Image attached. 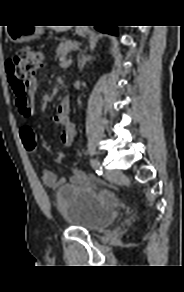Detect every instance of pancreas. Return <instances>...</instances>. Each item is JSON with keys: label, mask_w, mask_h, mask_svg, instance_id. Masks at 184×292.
<instances>
[{"label": "pancreas", "mask_w": 184, "mask_h": 292, "mask_svg": "<svg viewBox=\"0 0 184 292\" xmlns=\"http://www.w3.org/2000/svg\"><path fill=\"white\" fill-rule=\"evenodd\" d=\"M78 45L79 44L77 42H72L70 40L60 43L56 50L57 58L62 60L66 57L68 52L77 49Z\"/></svg>", "instance_id": "pancreas-1"}]
</instances>
